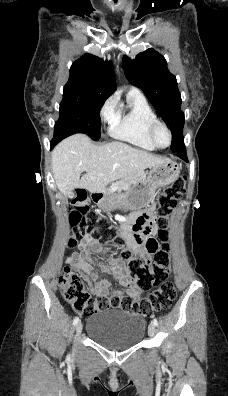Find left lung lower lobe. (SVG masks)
Wrapping results in <instances>:
<instances>
[{
    "instance_id": "left-lung-lower-lobe-1",
    "label": "left lung lower lobe",
    "mask_w": 228,
    "mask_h": 396,
    "mask_svg": "<svg viewBox=\"0 0 228 396\" xmlns=\"http://www.w3.org/2000/svg\"><path fill=\"white\" fill-rule=\"evenodd\" d=\"M184 160H187V157H186V156H184Z\"/></svg>"
}]
</instances>
